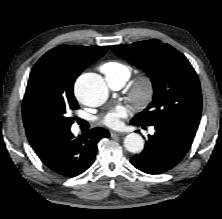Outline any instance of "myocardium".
Here are the masks:
<instances>
[{
    "label": "myocardium",
    "instance_id": "myocardium-1",
    "mask_svg": "<svg viewBox=\"0 0 222 219\" xmlns=\"http://www.w3.org/2000/svg\"><path fill=\"white\" fill-rule=\"evenodd\" d=\"M155 85L151 76H139L132 84L130 90L131 100L139 106L148 105L154 96Z\"/></svg>",
    "mask_w": 222,
    "mask_h": 219
}]
</instances>
